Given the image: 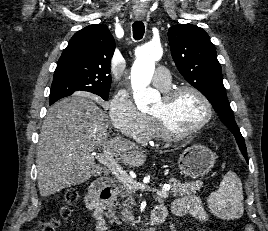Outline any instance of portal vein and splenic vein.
I'll list each match as a JSON object with an SVG mask.
<instances>
[{"label": "portal vein and splenic vein", "mask_w": 268, "mask_h": 231, "mask_svg": "<svg viewBox=\"0 0 268 231\" xmlns=\"http://www.w3.org/2000/svg\"><path fill=\"white\" fill-rule=\"evenodd\" d=\"M98 155L100 156H97V160L106 166L112 172V174L130 190H147L155 192L156 195L160 198L168 197V191L170 188L169 186H164L161 190H158L156 188L151 189L149 186H145L144 184L135 181L131 176H129V174L118 164L112 154L101 153Z\"/></svg>", "instance_id": "18ae733b"}]
</instances>
